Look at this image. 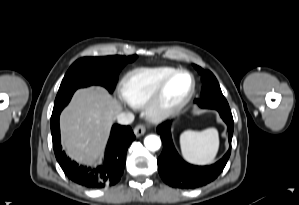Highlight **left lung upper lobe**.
Segmentation results:
<instances>
[{
  "instance_id": "obj_1",
  "label": "left lung upper lobe",
  "mask_w": 299,
  "mask_h": 205,
  "mask_svg": "<svg viewBox=\"0 0 299 205\" xmlns=\"http://www.w3.org/2000/svg\"><path fill=\"white\" fill-rule=\"evenodd\" d=\"M197 71L202 75L203 89L201 98L196 102L198 105L204 106L209 104H220L227 102L223 96L219 83L210 71H204L195 65Z\"/></svg>"
}]
</instances>
